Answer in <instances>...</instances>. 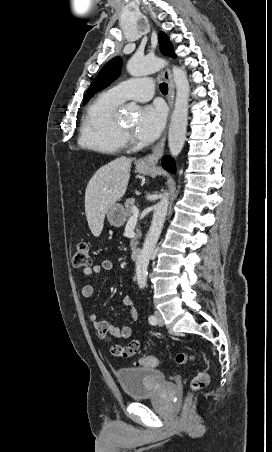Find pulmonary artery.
Here are the masks:
<instances>
[{"label": "pulmonary artery", "instance_id": "1", "mask_svg": "<svg viewBox=\"0 0 272 452\" xmlns=\"http://www.w3.org/2000/svg\"><path fill=\"white\" fill-rule=\"evenodd\" d=\"M153 88L151 79L134 78L111 87L108 92L119 102L127 100L145 102L152 98Z\"/></svg>", "mask_w": 272, "mask_h": 452}]
</instances>
